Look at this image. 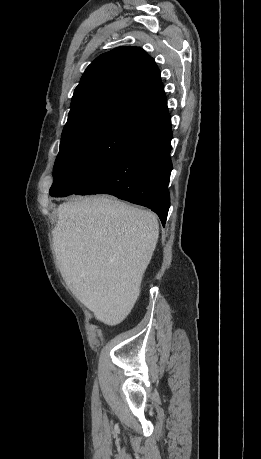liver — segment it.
<instances>
[{
    "mask_svg": "<svg viewBox=\"0 0 261 459\" xmlns=\"http://www.w3.org/2000/svg\"><path fill=\"white\" fill-rule=\"evenodd\" d=\"M57 214L53 249L65 282L97 320L119 323L156 248L157 217L107 196L60 204Z\"/></svg>",
    "mask_w": 261,
    "mask_h": 459,
    "instance_id": "6515ba94",
    "label": "liver"
}]
</instances>
